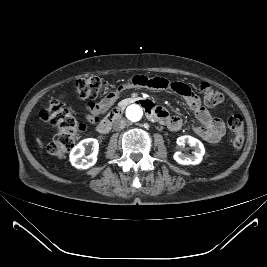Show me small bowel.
Here are the masks:
<instances>
[{"label": "small bowel", "instance_id": "small-bowel-1", "mask_svg": "<svg viewBox=\"0 0 267 267\" xmlns=\"http://www.w3.org/2000/svg\"><path fill=\"white\" fill-rule=\"evenodd\" d=\"M132 87H144L153 90H164L173 92L184 99L188 107L194 111L198 126L194 128V132L210 143L219 142L225 134V125L223 121L217 117H213L208 109L202 104L198 95L191 87L183 82L171 81L161 77L133 76L132 78L121 83L115 89L111 90L99 104H88L87 110L91 118L97 113H102L110 108L119 95ZM161 123L165 124L170 130L178 131L183 127V120L179 116H170L166 110L159 107Z\"/></svg>", "mask_w": 267, "mask_h": 267}]
</instances>
